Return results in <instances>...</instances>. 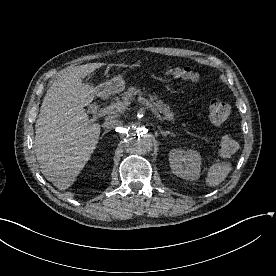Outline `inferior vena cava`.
<instances>
[{
    "label": "inferior vena cava",
    "instance_id": "1",
    "mask_svg": "<svg viewBox=\"0 0 276 276\" xmlns=\"http://www.w3.org/2000/svg\"><path fill=\"white\" fill-rule=\"evenodd\" d=\"M121 125V121L115 118L107 119L102 125L106 129H112Z\"/></svg>",
    "mask_w": 276,
    "mask_h": 276
}]
</instances>
